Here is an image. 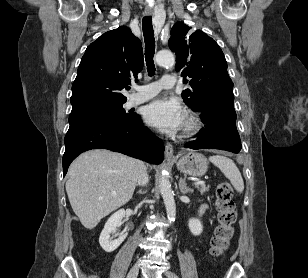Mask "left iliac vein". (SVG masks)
Masks as SVG:
<instances>
[{
  "mask_svg": "<svg viewBox=\"0 0 308 278\" xmlns=\"http://www.w3.org/2000/svg\"><path fill=\"white\" fill-rule=\"evenodd\" d=\"M165 275L167 278H179L175 273L171 272V271H166Z\"/></svg>",
  "mask_w": 308,
  "mask_h": 278,
  "instance_id": "1",
  "label": "left iliac vein"
}]
</instances>
